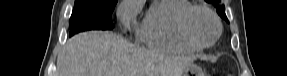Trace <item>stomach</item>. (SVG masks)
Returning a JSON list of instances; mask_svg holds the SVG:
<instances>
[{
  "label": "stomach",
  "mask_w": 287,
  "mask_h": 76,
  "mask_svg": "<svg viewBox=\"0 0 287 76\" xmlns=\"http://www.w3.org/2000/svg\"><path fill=\"white\" fill-rule=\"evenodd\" d=\"M184 76H204L200 67L195 64H190L186 69Z\"/></svg>",
  "instance_id": "1"
}]
</instances>
